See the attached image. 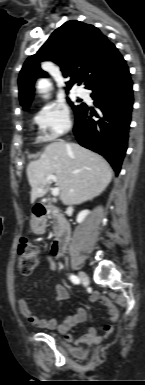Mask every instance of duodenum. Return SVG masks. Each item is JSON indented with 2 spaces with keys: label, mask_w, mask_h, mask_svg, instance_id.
Segmentation results:
<instances>
[{
  "label": "duodenum",
  "mask_w": 145,
  "mask_h": 385,
  "mask_svg": "<svg viewBox=\"0 0 145 385\" xmlns=\"http://www.w3.org/2000/svg\"><path fill=\"white\" fill-rule=\"evenodd\" d=\"M48 214H53L59 217V229L55 239L51 245V252L53 255H61L67 247L71 238V228L68 221L61 215L60 211L54 206L47 203H38L34 210L35 220L34 224L39 232L45 230V218Z\"/></svg>",
  "instance_id": "obj_1"
}]
</instances>
